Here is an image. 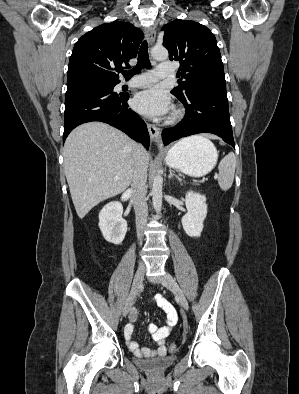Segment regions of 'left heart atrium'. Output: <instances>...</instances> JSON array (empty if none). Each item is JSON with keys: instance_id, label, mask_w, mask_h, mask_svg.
I'll use <instances>...</instances> for the list:
<instances>
[{"instance_id": "left-heart-atrium-1", "label": "left heart atrium", "mask_w": 299, "mask_h": 394, "mask_svg": "<svg viewBox=\"0 0 299 394\" xmlns=\"http://www.w3.org/2000/svg\"><path fill=\"white\" fill-rule=\"evenodd\" d=\"M133 108L148 117H161L171 110L169 97L159 87L153 86L137 93Z\"/></svg>"}]
</instances>
